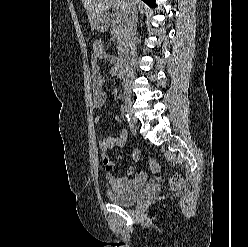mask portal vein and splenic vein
Segmentation results:
<instances>
[{
  "label": "portal vein and splenic vein",
  "mask_w": 248,
  "mask_h": 247,
  "mask_svg": "<svg viewBox=\"0 0 248 247\" xmlns=\"http://www.w3.org/2000/svg\"><path fill=\"white\" fill-rule=\"evenodd\" d=\"M115 16L120 17V16H121V14L116 12V13H115Z\"/></svg>",
  "instance_id": "1"
}]
</instances>
